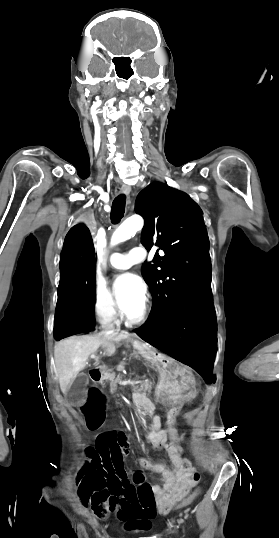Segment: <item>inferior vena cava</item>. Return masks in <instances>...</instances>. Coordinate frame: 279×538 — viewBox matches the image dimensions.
Segmentation results:
<instances>
[{"instance_id": "inferior-vena-cava-1", "label": "inferior vena cava", "mask_w": 279, "mask_h": 538, "mask_svg": "<svg viewBox=\"0 0 279 538\" xmlns=\"http://www.w3.org/2000/svg\"><path fill=\"white\" fill-rule=\"evenodd\" d=\"M114 314H116L115 310H108V311L106 312V315H105V317H104V320H105L104 324H106L105 327H106L107 330H105L104 333L113 334L114 330H108V329H112V328H113V324H107V323H109L110 321H113V319H115ZM115 323H116L117 326H118V322L115 321ZM105 327H104V328H105Z\"/></svg>"}]
</instances>
